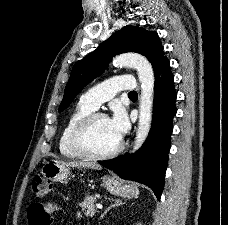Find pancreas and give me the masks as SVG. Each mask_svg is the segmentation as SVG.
<instances>
[{
  "mask_svg": "<svg viewBox=\"0 0 228 225\" xmlns=\"http://www.w3.org/2000/svg\"><path fill=\"white\" fill-rule=\"evenodd\" d=\"M94 203H96V197H89V195L85 197L83 203H79V207L84 211L86 217H94L97 213Z\"/></svg>",
  "mask_w": 228,
  "mask_h": 225,
  "instance_id": "obj_1",
  "label": "pancreas"
}]
</instances>
